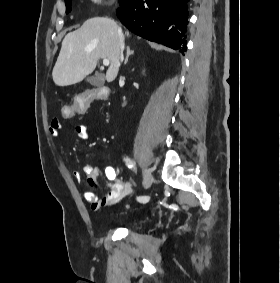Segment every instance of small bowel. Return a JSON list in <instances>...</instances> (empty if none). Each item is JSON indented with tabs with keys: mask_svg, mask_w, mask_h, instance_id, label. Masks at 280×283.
Returning a JSON list of instances; mask_svg holds the SVG:
<instances>
[{
	"mask_svg": "<svg viewBox=\"0 0 280 283\" xmlns=\"http://www.w3.org/2000/svg\"><path fill=\"white\" fill-rule=\"evenodd\" d=\"M61 130V122L57 119L52 120L49 126L50 135L53 137H57L59 136ZM74 131L77 138L82 140L88 138V129L85 125H76ZM83 172L87 175V184L90 188V190L84 193V198L90 204L92 210L94 211H101L108 206L115 205L133 194L132 186L128 182L120 179L117 176L116 171L112 167H106L105 176L107 179V189L105 194L99 198L95 192L100 188L99 169L87 163L84 165ZM72 175L76 180L81 179L82 176L81 172L78 170H74L72 172Z\"/></svg>",
	"mask_w": 280,
	"mask_h": 283,
	"instance_id": "obj_1",
	"label": "small bowel"
}]
</instances>
